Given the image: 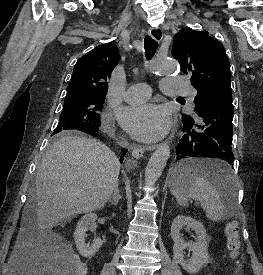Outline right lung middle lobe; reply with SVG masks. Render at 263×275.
<instances>
[{
  "label": "right lung middle lobe",
  "instance_id": "1",
  "mask_svg": "<svg viewBox=\"0 0 263 275\" xmlns=\"http://www.w3.org/2000/svg\"><path fill=\"white\" fill-rule=\"evenodd\" d=\"M105 97L79 95L64 100L59 124L53 132V141H58L68 130L98 131L99 114L103 108Z\"/></svg>",
  "mask_w": 263,
  "mask_h": 275
}]
</instances>
